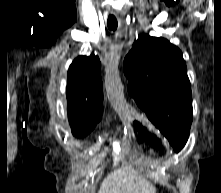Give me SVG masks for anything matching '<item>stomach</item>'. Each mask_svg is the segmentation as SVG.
<instances>
[{
	"instance_id": "1",
	"label": "stomach",
	"mask_w": 221,
	"mask_h": 193,
	"mask_svg": "<svg viewBox=\"0 0 221 193\" xmlns=\"http://www.w3.org/2000/svg\"><path fill=\"white\" fill-rule=\"evenodd\" d=\"M128 98H109V103L123 116L125 123H128L131 133L128 138L125 154L127 159H120L123 167H150V162H143V159H166L168 155L167 142H163L164 133H160L157 125H152L150 120H144V115H138L135 104L128 102ZM138 155L139 159H133Z\"/></svg>"
}]
</instances>
